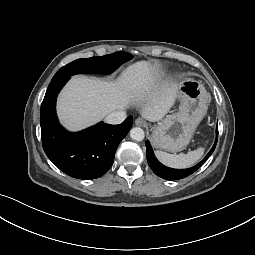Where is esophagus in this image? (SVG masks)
Returning <instances> with one entry per match:
<instances>
[{
    "instance_id": "34e87169",
    "label": "esophagus",
    "mask_w": 255,
    "mask_h": 255,
    "mask_svg": "<svg viewBox=\"0 0 255 255\" xmlns=\"http://www.w3.org/2000/svg\"><path fill=\"white\" fill-rule=\"evenodd\" d=\"M135 124H136L137 126H140V127H144V126L147 125L146 121H145L144 119H142V118H137V119L135 120Z\"/></svg>"
}]
</instances>
